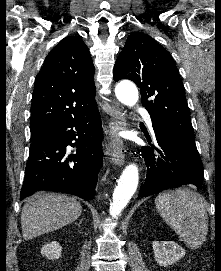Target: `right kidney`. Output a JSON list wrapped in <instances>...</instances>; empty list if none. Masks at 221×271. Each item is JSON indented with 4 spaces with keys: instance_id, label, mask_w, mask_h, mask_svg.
<instances>
[{
    "instance_id": "1",
    "label": "right kidney",
    "mask_w": 221,
    "mask_h": 271,
    "mask_svg": "<svg viewBox=\"0 0 221 271\" xmlns=\"http://www.w3.org/2000/svg\"><path fill=\"white\" fill-rule=\"evenodd\" d=\"M62 245L59 241H51V243H46L41 247L42 255L48 257V259H59L61 257Z\"/></svg>"
}]
</instances>
